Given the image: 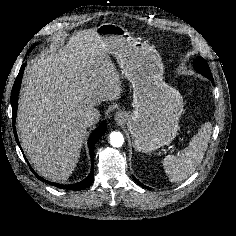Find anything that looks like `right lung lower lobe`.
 <instances>
[{"instance_id":"1","label":"right lung lower lobe","mask_w":236,"mask_h":236,"mask_svg":"<svg viewBox=\"0 0 236 236\" xmlns=\"http://www.w3.org/2000/svg\"><path fill=\"white\" fill-rule=\"evenodd\" d=\"M26 64H23L20 68V74H18L13 88H12V92H11V105H12V124H13V130H14V135H15V139L19 145V141H18V137H17V133H16V129H15V118L17 115V100H18V93H19V88H20V84H21V78L23 75V70L25 68ZM106 122H102L101 125L92 133V135L90 136L89 140H88V146H89V151H90V157H91V161H93V157H94V145L96 144V142L99 140V138L106 132ZM29 165V163H28ZM31 168V166H30ZM32 169V168H31ZM33 173L35 174V176L46 182L49 183L53 186H56L58 188L61 189H67V190H81V189H85L87 186H89L92 181H93V177H94V173L93 171L89 174V176L84 179L81 182H78L76 184H71V185H62V184H56V183H52L49 181L44 180L43 178H41L33 169H32Z\"/></svg>"}]
</instances>
